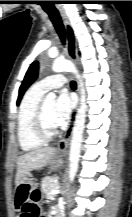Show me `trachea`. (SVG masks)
Here are the masks:
<instances>
[{
	"label": "trachea",
	"instance_id": "1",
	"mask_svg": "<svg viewBox=\"0 0 132 217\" xmlns=\"http://www.w3.org/2000/svg\"><path fill=\"white\" fill-rule=\"evenodd\" d=\"M50 20L52 21L63 45H65L66 36H65V28L61 17L58 13H48ZM71 87L76 88V82L71 81Z\"/></svg>",
	"mask_w": 132,
	"mask_h": 217
}]
</instances>
